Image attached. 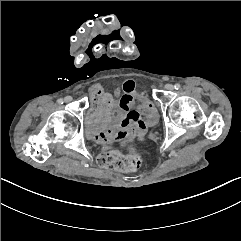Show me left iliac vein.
Here are the masks:
<instances>
[{
  "label": "left iliac vein",
  "mask_w": 241,
  "mask_h": 241,
  "mask_svg": "<svg viewBox=\"0 0 241 241\" xmlns=\"http://www.w3.org/2000/svg\"><path fill=\"white\" fill-rule=\"evenodd\" d=\"M165 89L169 90V91H172L174 89V86L172 84H166Z\"/></svg>",
  "instance_id": "obj_1"
}]
</instances>
